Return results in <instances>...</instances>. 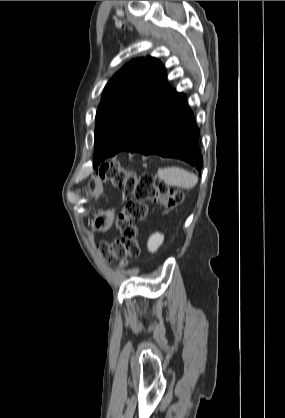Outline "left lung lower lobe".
<instances>
[{"label":"left lung lower lobe","instance_id":"obj_1","mask_svg":"<svg viewBox=\"0 0 285 418\" xmlns=\"http://www.w3.org/2000/svg\"><path fill=\"white\" fill-rule=\"evenodd\" d=\"M199 133L186 95L171 89L123 150L181 159L200 170ZM110 156L109 152L99 154L102 160Z\"/></svg>","mask_w":285,"mask_h":418}]
</instances>
